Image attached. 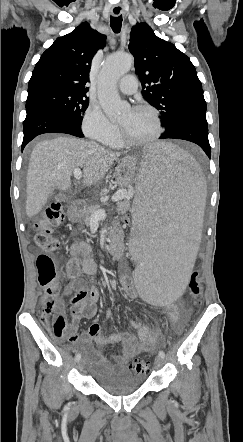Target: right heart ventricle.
Here are the masks:
<instances>
[{
	"label": "right heart ventricle",
	"mask_w": 243,
	"mask_h": 442,
	"mask_svg": "<svg viewBox=\"0 0 243 442\" xmlns=\"http://www.w3.org/2000/svg\"><path fill=\"white\" fill-rule=\"evenodd\" d=\"M109 145L114 146V147H120L122 146V142L120 141L119 136L117 135L115 138H113L112 140H110L108 142Z\"/></svg>",
	"instance_id": "1"
}]
</instances>
